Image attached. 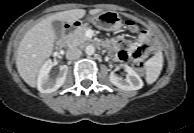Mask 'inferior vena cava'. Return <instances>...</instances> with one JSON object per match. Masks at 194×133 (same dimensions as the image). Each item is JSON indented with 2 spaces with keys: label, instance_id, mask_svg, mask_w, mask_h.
Instances as JSON below:
<instances>
[{
  "label": "inferior vena cava",
  "instance_id": "obj_1",
  "mask_svg": "<svg viewBox=\"0 0 194 133\" xmlns=\"http://www.w3.org/2000/svg\"><path fill=\"white\" fill-rule=\"evenodd\" d=\"M81 55H82V51L75 47L69 48L66 52V58L68 60L78 59Z\"/></svg>",
  "mask_w": 194,
  "mask_h": 133
}]
</instances>
